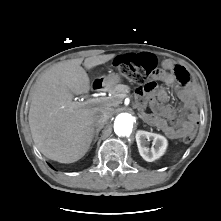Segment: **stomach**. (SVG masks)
Wrapping results in <instances>:
<instances>
[{"label": "stomach", "instance_id": "0dacf381", "mask_svg": "<svg viewBox=\"0 0 221 221\" xmlns=\"http://www.w3.org/2000/svg\"><path fill=\"white\" fill-rule=\"evenodd\" d=\"M121 81L120 76L118 74H110L106 78H104V85L108 87L110 90L114 89L115 86Z\"/></svg>", "mask_w": 221, "mask_h": 221}]
</instances>
